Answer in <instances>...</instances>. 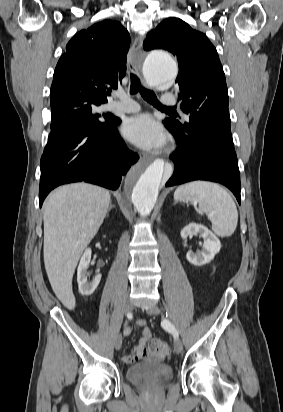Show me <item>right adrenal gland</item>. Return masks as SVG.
Listing matches in <instances>:
<instances>
[{
	"instance_id": "right-adrenal-gland-1",
	"label": "right adrenal gland",
	"mask_w": 283,
	"mask_h": 412,
	"mask_svg": "<svg viewBox=\"0 0 283 412\" xmlns=\"http://www.w3.org/2000/svg\"><path fill=\"white\" fill-rule=\"evenodd\" d=\"M112 208H115V205H113V204L110 202V205H109V208H108V211H107V215H108L109 211H110Z\"/></svg>"
}]
</instances>
